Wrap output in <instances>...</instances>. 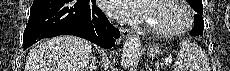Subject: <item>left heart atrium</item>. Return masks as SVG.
<instances>
[{
    "label": "left heart atrium",
    "instance_id": "left-heart-atrium-1",
    "mask_svg": "<svg viewBox=\"0 0 230 71\" xmlns=\"http://www.w3.org/2000/svg\"><path fill=\"white\" fill-rule=\"evenodd\" d=\"M148 0H103L104 10L111 16L131 24L148 23Z\"/></svg>",
    "mask_w": 230,
    "mask_h": 71
}]
</instances>
